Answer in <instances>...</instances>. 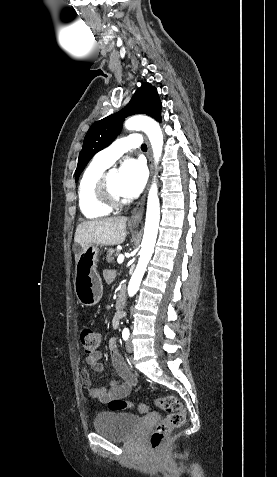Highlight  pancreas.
Here are the masks:
<instances>
[{
	"label": "pancreas",
	"instance_id": "obj_1",
	"mask_svg": "<svg viewBox=\"0 0 277 477\" xmlns=\"http://www.w3.org/2000/svg\"><path fill=\"white\" fill-rule=\"evenodd\" d=\"M118 255V250L110 249L107 252L106 261L108 263L114 262V257Z\"/></svg>",
	"mask_w": 277,
	"mask_h": 477
}]
</instances>
